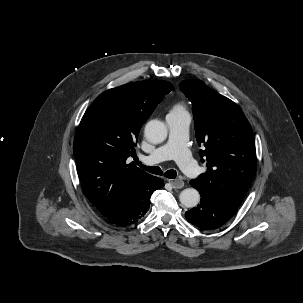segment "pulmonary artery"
Masks as SVG:
<instances>
[{"instance_id":"obj_1","label":"pulmonary artery","mask_w":303,"mask_h":303,"mask_svg":"<svg viewBox=\"0 0 303 303\" xmlns=\"http://www.w3.org/2000/svg\"><path fill=\"white\" fill-rule=\"evenodd\" d=\"M166 123L169 129L167 142L156 148L151 154L143 156L142 161L152 165L174 159L188 176L197 177L200 169L187 146L190 116L187 113L167 115Z\"/></svg>"}]
</instances>
